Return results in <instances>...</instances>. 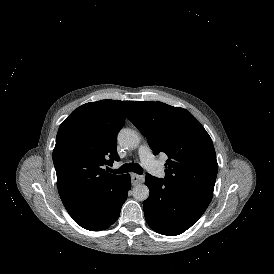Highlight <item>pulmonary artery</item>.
I'll return each instance as SVG.
<instances>
[{
  "label": "pulmonary artery",
  "mask_w": 274,
  "mask_h": 274,
  "mask_svg": "<svg viewBox=\"0 0 274 274\" xmlns=\"http://www.w3.org/2000/svg\"><path fill=\"white\" fill-rule=\"evenodd\" d=\"M138 153H139L141 162L143 164L146 163V166L148 167L150 173H154L157 176L163 175V169L160 168L159 166H155V164L153 163L152 151L146 143L140 146Z\"/></svg>",
  "instance_id": "1"
}]
</instances>
